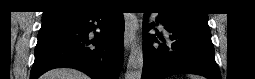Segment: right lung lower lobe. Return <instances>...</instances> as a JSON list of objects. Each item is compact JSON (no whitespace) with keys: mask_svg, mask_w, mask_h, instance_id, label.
Returning <instances> with one entry per match:
<instances>
[{"mask_svg":"<svg viewBox=\"0 0 255 79\" xmlns=\"http://www.w3.org/2000/svg\"><path fill=\"white\" fill-rule=\"evenodd\" d=\"M100 29L94 38L91 31ZM124 18L121 12L94 9L43 20L30 78L58 67L83 71L93 79H117L123 59Z\"/></svg>","mask_w":255,"mask_h":79,"instance_id":"98d812e1","label":"right lung lower lobe"}]
</instances>
